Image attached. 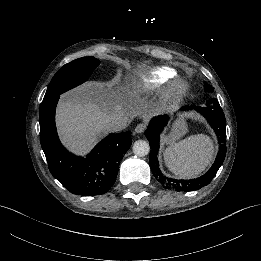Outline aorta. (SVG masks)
Segmentation results:
<instances>
[{"label":"aorta","mask_w":261,"mask_h":261,"mask_svg":"<svg viewBox=\"0 0 261 261\" xmlns=\"http://www.w3.org/2000/svg\"><path fill=\"white\" fill-rule=\"evenodd\" d=\"M150 146L145 140H137L133 144V153L139 157L149 154Z\"/></svg>","instance_id":"obj_1"}]
</instances>
